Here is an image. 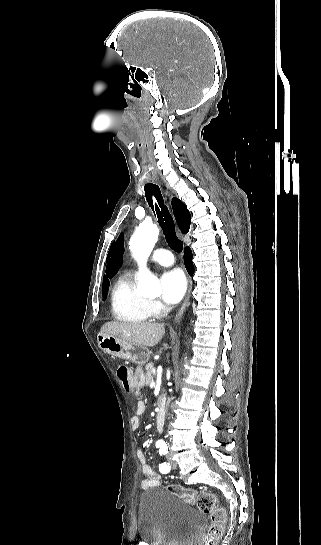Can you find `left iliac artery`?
Instances as JSON below:
<instances>
[{
	"mask_svg": "<svg viewBox=\"0 0 321 545\" xmlns=\"http://www.w3.org/2000/svg\"><path fill=\"white\" fill-rule=\"evenodd\" d=\"M168 452V448L166 446H161L160 449H159V454L160 455H166ZM159 470L161 473H168L170 471V464L169 463H166V462H163L162 464L159 465Z\"/></svg>",
	"mask_w": 321,
	"mask_h": 545,
	"instance_id": "1",
	"label": "left iliac artery"
}]
</instances>
